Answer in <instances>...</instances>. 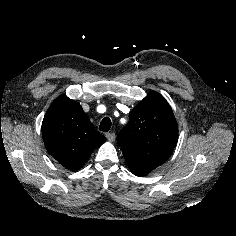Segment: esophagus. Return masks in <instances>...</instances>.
Masks as SVG:
<instances>
[{
	"instance_id": "esophagus-1",
	"label": "esophagus",
	"mask_w": 236,
	"mask_h": 236,
	"mask_svg": "<svg viewBox=\"0 0 236 236\" xmlns=\"http://www.w3.org/2000/svg\"><path fill=\"white\" fill-rule=\"evenodd\" d=\"M106 138L108 139V141L113 142L116 138L115 133H113V132L107 133Z\"/></svg>"
}]
</instances>
